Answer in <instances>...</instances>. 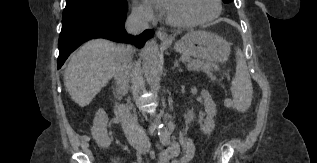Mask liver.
<instances>
[{
    "label": "liver",
    "instance_id": "liver-1",
    "mask_svg": "<svg viewBox=\"0 0 317 163\" xmlns=\"http://www.w3.org/2000/svg\"><path fill=\"white\" fill-rule=\"evenodd\" d=\"M121 45L104 39L85 43L75 52L65 69L64 84L79 106L90 104L115 74Z\"/></svg>",
    "mask_w": 317,
    "mask_h": 163
}]
</instances>
